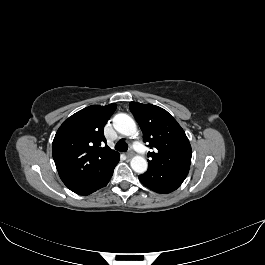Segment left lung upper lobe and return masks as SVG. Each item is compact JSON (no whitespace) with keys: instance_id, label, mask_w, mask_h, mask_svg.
<instances>
[{"instance_id":"1","label":"left lung upper lobe","mask_w":265,"mask_h":265,"mask_svg":"<svg viewBox=\"0 0 265 265\" xmlns=\"http://www.w3.org/2000/svg\"><path fill=\"white\" fill-rule=\"evenodd\" d=\"M129 107L143 132V141L155 148L147 154L148 170L188 172L191 145L177 121L156 105L130 102Z\"/></svg>"}]
</instances>
